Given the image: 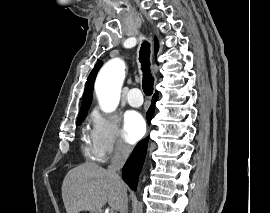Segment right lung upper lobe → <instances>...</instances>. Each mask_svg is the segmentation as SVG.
<instances>
[{
  "label": "right lung upper lobe",
  "mask_w": 270,
  "mask_h": 213,
  "mask_svg": "<svg viewBox=\"0 0 270 213\" xmlns=\"http://www.w3.org/2000/svg\"><path fill=\"white\" fill-rule=\"evenodd\" d=\"M158 51V40L157 38L155 39V53H157ZM101 62H98L95 67L93 68V70L91 71L87 82H86V87H85V91L83 94V100H82V105H81V109H80V113H86L87 110L90 107L91 101H92V96H93V84H94V80L95 77L97 75V72L99 70V68L101 67ZM79 113V114H80Z\"/></svg>",
  "instance_id": "cb5924a9"
}]
</instances>
